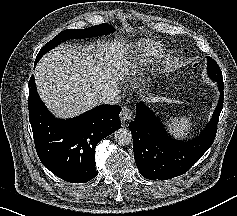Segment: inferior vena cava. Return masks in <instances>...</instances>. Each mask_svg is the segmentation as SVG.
I'll return each mask as SVG.
<instances>
[{
	"label": "inferior vena cava",
	"instance_id": "obj_1",
	"mask_svg": "<svg viewBox=\"0 0 237 216\" xmlns=\"http://www.w3.org/2000/svg\"><path fill=\"white\" fill-rule=\"evenodd\" d=\"M99 99L101 104L107 105H118L121 101L120 91L117 87H108L106 90L102 91Z\"/></svg>",
	"mask_w": 237,
	"mask_h": 216
}]
</instances>
